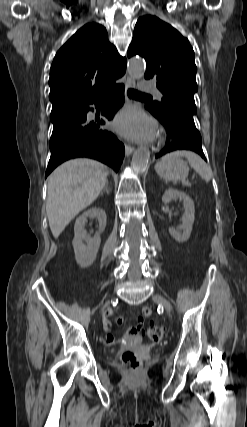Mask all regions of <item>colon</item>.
Listing matches in <instances>:
<instances>
[{"label":"colon","mask_w":247,"mask_h":427,"mask_svg":"<svg viewBox=\"0 0 247 427\" xmlns=\"http://www.w3.org/2000/svg\"><path fill=\"white\" fill-rule=\"evenodd\" d=\"M146 334L150 340L155 342H159L165 337L164 329L156 325L148 326ZM121 360L124 367L131 372L137 370L142 362L141 357L132 350L124 351Z\"/></svg>","instance_id":"colon-1"}]
</instances>
